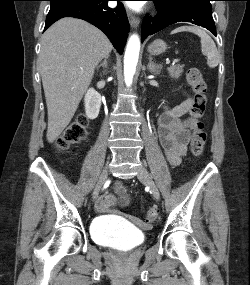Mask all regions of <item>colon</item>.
<instances>
[{"mask_svg": "<svg viewBox=\"0 0 250 285\" xmlns=\"http://www.w3.org/2000/svg\"><path fill=\"white\" fill-rule=\"evenodd\" d=\"M188 83L191 85L194 98L190 110L192 122V139L190 142V149L194 156H199L203 153L207 135L204 131V125L201 121L207 104V85L203 78L201 71L197 68H189L186 73ZM88 135V119L85 115H79L56 140L55 146L57 150L64 151L72 145L80 143L87 138ZM158 212L156 209H149L145 214L147 222L156 220Z\"/></svg>", "mask_w": 250, "mask_h": 285, "instance_id": "colon-1", "label": "colon"}]
</instances>
